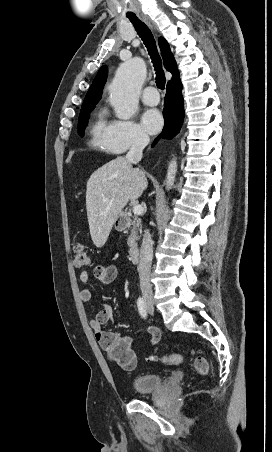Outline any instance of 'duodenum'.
<instances>
[{
	"label": "duodenum",
	"mask_w": 272,
	"mask_h": 452,
	"mask_svg": "<svg viewBox=\"0 0 272 452\" xmlns=\"http://www.w3.org/2000/svg\"><path fill=\"white\" fill-rule=\"evenodd\" d=\"M125 223L121 224L120 229L123 230L125 228ZM139 247L137 246H131L129 249V259L131 262H135L137 261L138 257H139Z\"/></svg>",
	"instance_id": "obj_1"
}]
</instances>
